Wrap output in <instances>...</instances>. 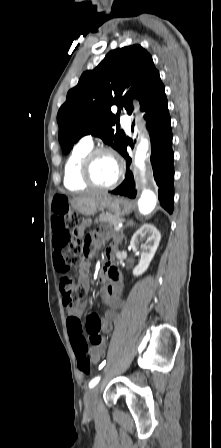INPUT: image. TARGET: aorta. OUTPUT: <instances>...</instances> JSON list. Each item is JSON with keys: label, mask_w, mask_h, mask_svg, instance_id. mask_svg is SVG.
Masks as SVG:
<instances>
[{"label": "aorta", "mask_w": 221, "mask_h": 448, "mask_svg": "<svg viewBox=\"0 0 221 448\" xmlns=\"http://www.w3.org/2000/svg\"><path fill=\"white\" fill-rule=\"evenodd\" d=\"M149 148V142L147 139L142 138L140 143L137 146L135 153V164L140 170H144V161L147 156ZM157 197L151 190L143 189L140 199L138 201L139 211L142 214L150 213L156 206Z\"/></svg>", "instance_id": "aorta-1"}]
</instances>
